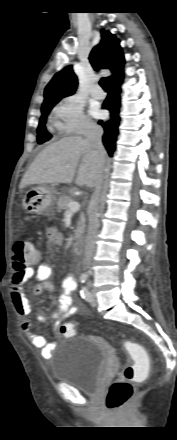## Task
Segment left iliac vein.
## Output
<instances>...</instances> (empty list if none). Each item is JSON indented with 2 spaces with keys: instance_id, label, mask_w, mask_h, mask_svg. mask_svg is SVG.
<instances>
[{
  "instance_id": "left-iliac-vein-1",
  "label": "left iliac vein",
  "mask_w": 177,
  "mask_h": 440,
  "mask_svg": "<svg viewBox=\"0 0 177 440\" xmlns=\"http://www.w3.org/2000/svg\"><path fill=\"white\" fill-rule=\"evenodd\" d=\"M91 300H90V304L92 306H96L97 305V297L95 295V293L93 291H91Z\"/></svg>"
}]
</instances>
